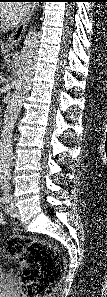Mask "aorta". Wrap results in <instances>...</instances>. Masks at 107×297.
I'll return each mask as SVG.
<instances>
[{"label":"aorta","instance_id":"1","mask_svg":"<svg viewBox=\"0 0 107 297\" xmlns=\"http://www.w3.org/2000/svg\"><path fill=\"white\" fill-rule=\"evenodd\" d=\"M38 46L39 35L36 27H34L25 37L18 61L15 90L4 113V121L0 137V168L2 169L9 167L11 164L13 155V129L23 102L31 89Z\"/></svg>","mask_w":107,"mask_h":297}]
</instances>
